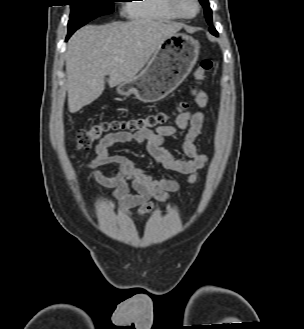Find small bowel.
Here are the masks:
<instances>
[{
  "mask_svg": "<svg viewBox=\"0 0 304 329\" xmlns=\"http://www.w3.org/2000/svg\"><path fill=\"white\" fill-rule=\"evenodd\" d=\"M195 102L198 107L204 108L208 102L207 94L204 91H199L195 95ZM203 125L204 115L202 112L186 111L149 135L120 132L104 137L97 144L95 156L87 165L93 171V178L98 184V191L102 193L105 187H113L114 191L109 196L128 216L142 218L152 214L155 208L151 200L168 202L170 195L180 188L179 183L170 178L155 179L150 174L151 168L140 167L124 155L111 154L109 149L122 143L144 145L153 158L154 167H162L187 175L189 183H194L197 180L198 171L207 162V156L199 153L195 144L202 132ZM182 131H186L182 151L188 159L176 158L165 147V138L175 136ZM107 164L118 166L115 175L108 177L97 170V167ZM135 207L137 210L133 211Z\"/></svg>",
  "mask_w": 304,
  "mask_h": 329,
  "instance_id": "c3829d8e",
  "label": "small bowel"
}]
</instances>
